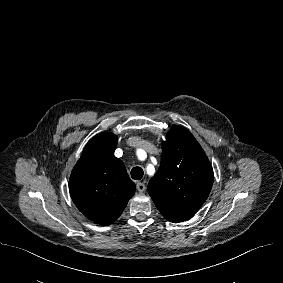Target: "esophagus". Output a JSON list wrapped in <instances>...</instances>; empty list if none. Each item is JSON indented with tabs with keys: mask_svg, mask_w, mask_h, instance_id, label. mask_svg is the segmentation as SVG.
<instances>
[{
	"mask_svg": "<svg viewBox=\"0 0 283 283\" xmlns=\"http://www.w3.org/2000/svg\"><path fill=\"white\" fill-rule=\"evenodd\" d=\"M136 188H137V190H138L140 193H142V192L145 191L146 186H145L144 183L138 182V183L136 184Z\"/></svg>",
	"mask_w": 283,
	"mask_h": 283,
	"instance_id": "obj_1",
	"label": "esophagus"
}]
</instances>
